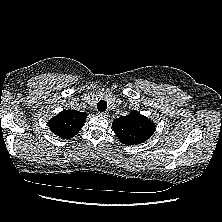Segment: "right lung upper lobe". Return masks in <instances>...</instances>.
Returning <instances> with one entry per match:
<instances>
[{"label":"right lung upper lobe","instance_id":"1","mask_svg":"<svg viewBox=\"0 0 222 222\" xmlns=\"http://www.w3.org/2000/svg\"><path fill=\"white\" fill-rule=\"evenodd\" d=\"M86 117V112L63 110L53 117L48 125L50 130L60 138L70 139L83 127Z\"/></svg>","mask_w":222,"mask_h":222}]
</instances>
